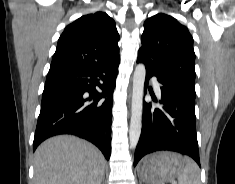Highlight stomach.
Returning a JSON list of instances; mask_svg holds the SVG:
<instances>
[{"mask_svg": "<svg viewBox=\"0 0 235 184\" xmlns=\"http://www.w3.org/2000/svg\"><path fill=\"white\" fill-rule=\"evenodd\" d=\"M184 158L176 152H157L147 156L138 168V176L146 184H167L174 182L178 174L183 172Z\"/></svg>", "mask_w": 235, "mask_h": 184, "instance_id": "0dacf381", "label": "stomach"}]
</instances>
